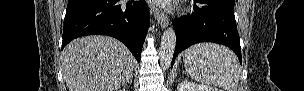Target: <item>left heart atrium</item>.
I'll return each mask as SVG.
<instances>
[{
  "label": "left heart atrium",
  "mask_w": 304,
  "mask_h": 91,
  "mask_svg": "<svg viewBox=\"0 0 304 91\" xmlns=\"http://www.w3.org/2000/svg\"><path fill=\"white\" fill-rule=\"evenodd\" d=\"M163 3H168L169 1H162Z\"/></svg>",
  "instance_id": "obj_1"
}]
</instances>
